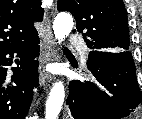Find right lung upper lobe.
<instances>
[{"label": "right lung upper lobe", "mask_w": 142, "mask_h": 119, "mask_svg": "<svg viewBox=\"0 0 142 119\" xmlns=\"http://www.w3.org/2000/svg\"><path fill=\"white\" fill-rule=\"evenodd\" d=\"M40 0H0V50L17 46L33 37L34 22H41Z\"/></svg>", "instance_id": "1"}]
</instances>
